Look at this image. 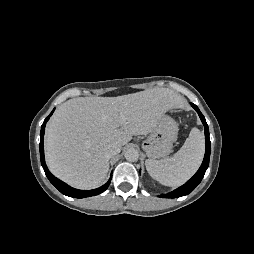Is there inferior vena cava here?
Returning a JSON list of instances; mask_svg holds the SVG:
<instances>
[{"label":"inferior vena cava","mask_w":254,"mask_h":254,"mask_svg":"<svg viewBox=\"0 0 254 254\" xmlns=\"http://www.w3.org/2000/svg\"><path fill=\"white\" fill-rule=\"evenodd\" d=\"M120 151H121V145L118 143H113L107 147L106 153L109 157H112L120 153Z\"/></svg>","instance_id":"obj_1"}]
</instances>
